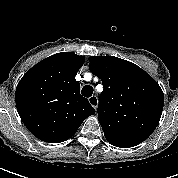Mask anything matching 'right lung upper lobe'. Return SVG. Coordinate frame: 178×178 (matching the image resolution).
Wrapping results in <instances>:
<instances>
[{
    "label": "right lung upper lobe",
    "instance_id": "obj_1",
    "mask_svg": "<svg viewBox=\"0 0 178 178\" xmlns=\"http://www.w3.org/2000/svg\"><path fill=\"white\" fill-rule=\"evenodd\" d=\"M72 52L54 54L33 66L20 80L15 93L17 111L38 139L59 143L75 134L82 122L95 113L80 95L75 79L84 64Z\"/></svg>",
    "mask_w": 178,
    "mask_h": 178
}]
</instances>
